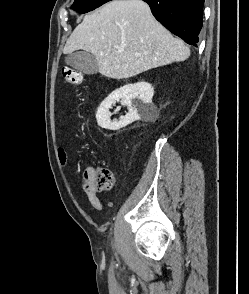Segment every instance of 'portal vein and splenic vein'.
I'll return each instance as SVG.
<instances>
[{
  "label": "portal vein and splenic vein",
  "mask_w": 249,
  "mask_h": 294,
  "mask_svg": "<svg viewBox=\"0 0 249 294\" xmlns=\"http://www.w3.org/2000/svg\"><path fill=\"white\" fill-rule=\"evenodd\" d=\"M123 51V48L118 49V53H121Z\"/></svg>",
  "instance_id": "portal-vein-and-splenic-vein-1"
}]
</instances>
